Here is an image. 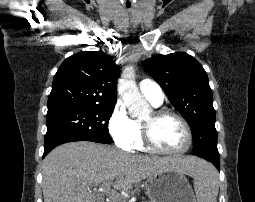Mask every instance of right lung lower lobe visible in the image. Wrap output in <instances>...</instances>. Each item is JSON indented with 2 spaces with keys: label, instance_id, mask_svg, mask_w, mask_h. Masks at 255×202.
I'll return each mask as SVG.
<instances>
[{
  "label": "right lung lower lobe",
  "instance_id": "right-lung-lower-lobe-1",
  "mask_svg": "<svg viewBox=\"0 0 255 202\" xmlns=\"http://www.w3.org/2000/svg\"><path fill=\"white\" fill-rule=\"evenodd\" d=\"M74 141H82V140H80L78 138H74V137H59V138H54L49 141H46L45 145H44L43 157L46 156L56 146L63 144V143L74 142Z\"/></svg>",
  "mask_w": 255,
  "mask_h": 202
}]
</instances>
